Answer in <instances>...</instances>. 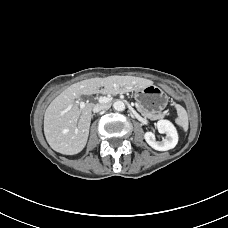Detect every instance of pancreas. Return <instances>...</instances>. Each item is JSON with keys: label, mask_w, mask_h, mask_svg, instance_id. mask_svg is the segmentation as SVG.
<instances>
[{"label": "pancreas", "mask_w": 228, "mask_h": 228, "mask_svg": "<svg viewBox=\"0 0 228 228\" xmlns=\"http://www.w3.org/2000/svg\"><path fill=\"white\" fill-rule=\"evenodd\" d=\"M134 109L139 112L140 114H143L144 116L155 120V119H162L165 117V113L164 112H158V113H145V110L141 107H139L138 105L134 106Z\"/></svg>", "instance_id": "pancreas-1"}]
</instances>
